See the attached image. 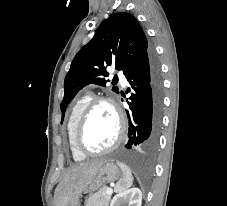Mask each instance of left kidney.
<instances>
[{
	"mask_svg": "<svg viewBox=\"0 0 227 206\" xmlns=\"http://www.w3.org/2000/svg\"><path fill=\"white\" fill-rule=\"evenodd\" d=\"M125 201H127L128 206H141L142 193L140 189L131 188L119 192L113 197L110 206H121V204L124 203Z\"/></svg>",
	"mask_w": 227,
	"mask_h": 206,
	"instance_id": "1",
	"label": "left kidney"
}]
</instances>
